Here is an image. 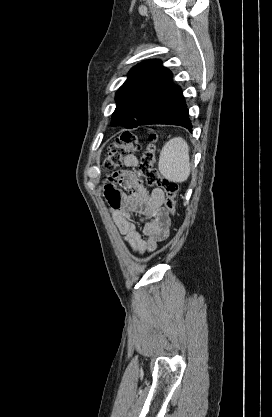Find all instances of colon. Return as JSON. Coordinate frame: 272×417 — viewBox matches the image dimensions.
I'll return each instance as SVG.
<instances>
[{"label": "colon", "instance_id": "5ec220e1", "mask_svg": "<svg viewBox=\"0 0 272 417\" xmlns=\"http://www.w3.org/2000/svg\"><path fill=\"white\" fill-rule=\"evenodd\" d=\"M158 135L150 132L149 144L147 145L140 161L139 170L148 185H157L164 192V206L171 216L175 214L176 195L178 192V184L160 174L155 166V151ZM140 149L138 137L133 132H123L117 138L116 142L110 145L107 150L104 167L107 170H115L122 161L133 152Z\"/></svg>", "mask_w": 272, "mask_h": 417}]
</instances>
